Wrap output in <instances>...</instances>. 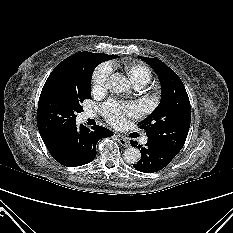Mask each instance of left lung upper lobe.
I'll list each match as a JSON object with an SVG mask.
<instances>
[{
	"label": "left lung upper lobe",
	"mask_w": 233,
	"mask_h": 233,
	"mask_svg": "<svg viewBox=\"0 0 233 233\" xmlns=\"http://www.w3.org/2000/svg\"><path fill=\"white\" fill-rule=\"evenodd\" d=\"M157 73L161 83L158 107L139 123L149 140L174 154L182 149L188 135L191 109L186 89L178 75L157 58L140 57Z\"/></svg>",
	"instance_id": "5c2ea615"
}]
</instances>
